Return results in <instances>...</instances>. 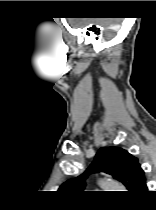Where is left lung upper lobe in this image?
<instances>
[{
  "mask_svg": "<svg viewBox=\"0 0 156 210\" xmlns=\"http://www.w3.org/2000/svg\"><path fill=\"white\" fill-rule=\"evenodd\" d=\"M98 172H105L119 180L131 193H142L147 190L144 171L136 157L120 147H102L85 172L63 183L59 191L61 193L82 192L87 176Z\"/></svg>",
  "mask_w": 156,
  "mask_h": 210,
  "instance_id": "5c2ea615",
  "label": "left lung upper lobe"
}]
</instances>
